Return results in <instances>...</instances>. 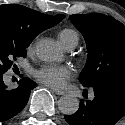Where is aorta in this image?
<instances>
[{
    "mask_svg": "<svg viewBox=\"0 0 125 125\" xmlns=\"http://www.w3.org/2000/svg\"><path fill=\"white\" fill-rule=\"evenodd\" d=\"M37 57L45 62H53L60 58L61 52L54 41L43 39L35 46ZM58 108L65 115H72L79 108V101L72 95H64L58 100Z\"/></svg>",
    "mask_w": 125,
    "mask_h": 125,
    "instance_id": "obj_1",
    "label": "aorta"
}]
</instances>
